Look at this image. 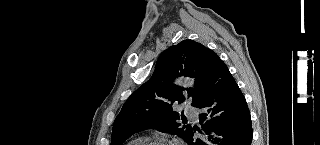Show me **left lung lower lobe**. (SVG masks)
<instances>
[{"instance_id":"left-lung-lower-lobe-1","label":"left lung lower lobe","mask_w":320,"mask_h":145,"mask_svg":"<svg viewBox=\"0 0 320 145\" xmlns=\"http://www.w3.org/2000/svg\"><path fill=\"white\" fill-rule=\"evenodd\" d=\"M197 108L202 110L199 114L202 127L192 130L186 140L188 145L251 144V117L245 97L221 59L204 76ZM196 130L204 137L194 138Z\"/></svg>"}]
</instances>
